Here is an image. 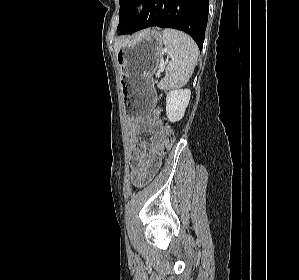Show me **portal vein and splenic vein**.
<instances>
[{
    "label": "portal vein and splenic vein",
    "instance_id": "obj_1",
    "mask_svg": "<svg viewBox=\"0 0 299 280\" xmlns=\"http://www.w3.org/2000/svg\"><path fill=\"white\" fill-rule=\"evenodd\" d=\"M164 68H165L164 63H161V64L159 65V70L162 72V71H164Z\"/></svg>",
    "mask_w": 299,
    "mask_h": 280
}]
</instances>
